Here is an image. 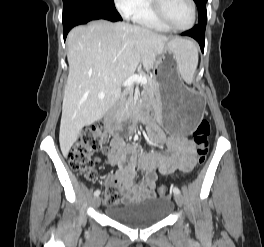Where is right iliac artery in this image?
I'll use <instances>...</instances> for the list:
<instances>
[{
	"label": "right iliac artery",
	"instance_id": "82829eb1",
	"mask_svg": "<svg viewBox=\"0 0 264 247\" xmlns=\"http://www.w3.org/2000/svg\"><path fill=\"white\" fill-rule=\"evenodd\" d=\"M100 195V190H96L95 192H94V196H99Z\"/></svg>",
	"mask_w": 264,
	"mask_h": 247
}]
</instances>
